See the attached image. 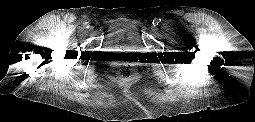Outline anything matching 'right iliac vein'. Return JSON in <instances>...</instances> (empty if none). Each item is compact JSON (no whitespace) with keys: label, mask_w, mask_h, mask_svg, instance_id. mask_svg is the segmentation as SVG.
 Returning <instances> with one entry per match:
<instances>
[{"label":"right iliac vein","mask_w":255,"mask_h":122,"mask_svg":"<svg viewBox=\"0 0 255 122\" xmlns=\"http://www.w3.org/2000/svg\"><path fill=\"white\" fill-rule=\"evenodd\" d=\"M94 30L93 26H90L89 31L92 32Z\"/></svg>","instance_id":"right-iliac-vein-1"}]
</instances>
